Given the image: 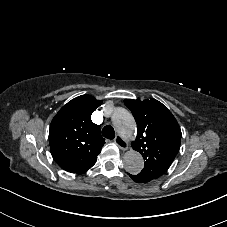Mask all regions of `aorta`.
<instances>
[{"mask_svg": "<svg viewBox=\"0 0 227 227\" xmlns=\"http://www.w3.org/2000/svg\"><path fill=\"white\" fill-rule=\"evenodd\" d=\"M112 122L125 138H132L136 132V123L132 114L124 108H116L112 115ZM124 167L130 174H138L144 167V159L136 150H129L124 155Z\"/></svg>", "mask_w": 227, "mask_h": 227, "instance_id": "obj_1", "label": "aorta"}]
</instances>
